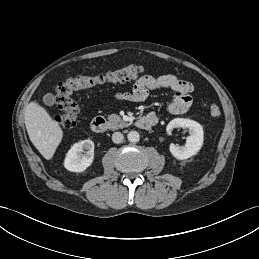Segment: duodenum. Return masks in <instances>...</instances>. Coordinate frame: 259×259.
<instances>
[{"mask_svg":"<svg viewBox=\"0 0 259 259\" xmlns=\"http://www.w3.org/2000/svg\"><path fill=\"white\" fill-rule=\"evenodd\" d=\"M156 121H157V118L155 116L140 117L137 120V126L139 128L145 129L154 125ZM107 128H108L107 121L104 117H95L92 119L91 129L93 132L103 133L107 130Z\"/></svg>","mask_w":259,"mask_h":259,"instance_id":"duodenum-1","label":"duodenum"}]
</instances>
